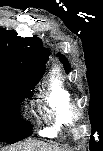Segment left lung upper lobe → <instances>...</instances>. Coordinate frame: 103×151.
Returning <instances> with one entry per match:
<instances>
[{
	"label": "left lung upper lobe",
	"instance_id": "left-lung-upper-lobe-1",
	"mask_svg": "<svg viewBox=\"0 0 103 151\" xmlns=\"http://www.w3.org/2000/svg\"><path fill=\"white\" fill-rule=\"evenodd\" d=\"M58 56L60 58V61L64 64L66 72H69L70 71V65H69L67 59L63 55H61L60 53L58 54Z\"/></svg>",
	"mask_w": 103,
	"mask_h": 151
}]
</instances>
